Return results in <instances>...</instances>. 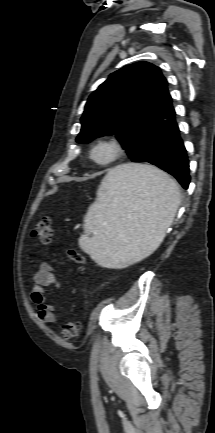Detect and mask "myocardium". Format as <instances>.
I'll return each mask as SVG.
<instances>
[{
  "label": "myocardium",
  "instance_id": "f54148a6",
  "mask_svg": "<svg viewBox=\"0 0 215 433\" xmlns=\"http://www.w3.org/2000/svg\"><path fill=\"white\" fill-rule=\"evenodd\" d=\"M100 149H107L105 158H98L96 153ZM125 152L123 143L115 136H104L97 139L89 149L88 158L97 166H108L118 161Z\"/></svg>",
  "mask_w": 215,
  "mask_h": 433
}]
</instances>
